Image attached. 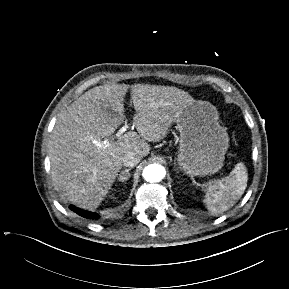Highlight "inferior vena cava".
Instances as JSON below:
<instances>
[{"instance_id": "obj_1", "label": "inferior vena cava", "mask_w": 289, "mask_h": 289, "mask_svg": "<svg viewBox=\"0 0 289 289\" xmlns=\"http://www.w3.org/2000/svg\"><path fill=\"white\" fill-rule=\"evenodd\" d=\"M141 158V156L133 152H128L123 158V165L125 167H134L140 162Z\"/></svg>"}]
</instances>
